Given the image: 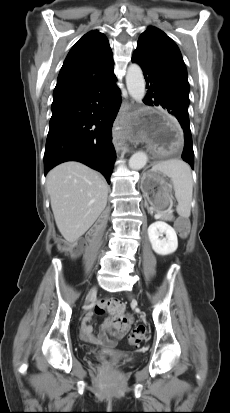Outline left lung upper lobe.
Returning a JSON list of instances; mask_svg holds the SVG:
<instances>
[{
    "instance_id": "1",
    "label": "left lung upper lobe",
    "mask_w": 230,
    "mask_h": 413,
    "mask_svg": "<svg viewBox=\"0 0 230 413\" xmlns=\"http://www.w3.org/2000/svg\"><path fill=\"white\" fill-rule=\"evenodd\" d=\"M135 58L159 71L169 83L189 98L187 70L182 55L163 31L148 27L138 40Z\"/></svg>"
}]
</instances>
